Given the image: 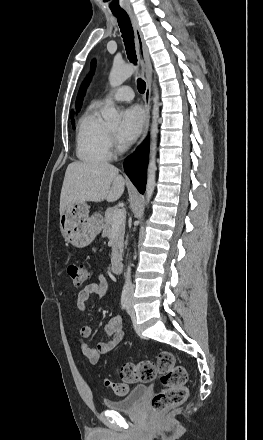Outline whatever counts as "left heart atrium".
I'll list each match as a JSON object with an SVG mask.
<instances>
[{"mask_svg": "<svg viewBox=\"0 0 263 440\" xmlns=\"http://www.w3.org/2000/svg\"><path fill=\"white\" fill-rule=\"evenodd\" d=\"M145 122L144 111L139 106H131L123 111L118 128L119 139L123 143L134 141L141 133Z\"/></svg>", "mask_w": 263, "mask_h": 440, "instance_id": "1", "label": "left heart atrium"}]
</instances>
